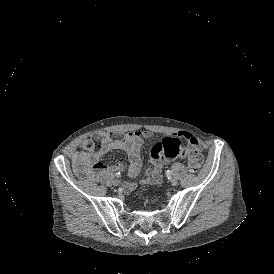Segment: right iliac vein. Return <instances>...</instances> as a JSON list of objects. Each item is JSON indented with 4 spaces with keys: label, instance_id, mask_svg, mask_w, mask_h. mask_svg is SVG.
<instances>
[{
    "label": "right iliac vein",
    "instance_id": "63e3f726",
    "mask_svg": "<svg viewBox=\"0 0 274 274\" xmlns=\"http://www.w3.org/2000/svg\"><path fill=\"white\" fill-rule=\"evenodd\" d=\"M118 184H119V181H118L117 179H115V180L113 181V185L117 186Z\"/></svg>",
    "mask_w": 274,
    "mask_h": 274
}]
</instances>
